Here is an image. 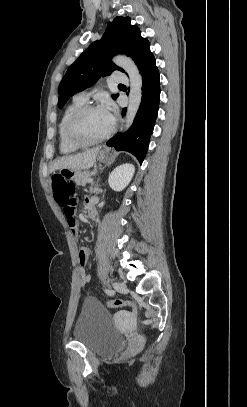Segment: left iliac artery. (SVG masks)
Wrapping results in <instances>:
<instances>
[{"mask_svg":"<svg viewBox=\"0 0 247 407\" xmlns=\"http://www.w3.org/2000/svg\"><path fill=\"white\" fill-rule=\"evenodd\" d=\"M105 293L108 294V295H113L114 291L111 290V289H105Z\"/></svg>","mask_w":247,"mask_h":407,"instance_id":"1","label":"left iliac artery"}]
</instances>
